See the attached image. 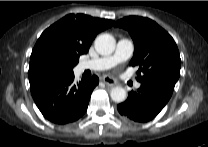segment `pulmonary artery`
Wrapping results in <instances>:
<instances>
[{
    "instance_id": "pulmonary-artery-1",
    "label": "pulmonary artery",
    "mask_w": 208,
    "mask_h": 147,
    "mask_svg": "<svg viewBox=\"0 0 208 147\" xmlns=\"http://www.w3.org/2000/svg\"><path fill=\"white\" fill-rule=\"evenodd\" d=\"M134 51L133 42L127 38H121L118 40L116 49L113 54L98 57L94 59H88L81 61L79 63V70H93V71H102L110 69L116 66L119 63L125 62L128 60ZM141 85L139 82L135 83V88H139Z\"/></svg>"
}]
</instances>
